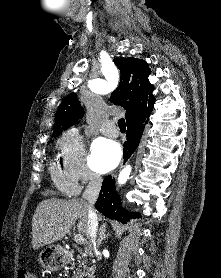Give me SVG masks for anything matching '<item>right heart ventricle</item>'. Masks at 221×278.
<instances>
[{
	"instance_id": "1",
	"label": "right heart ventricle",
	"mask_w": 221,
	"mask_h": 278,
	"mask_svg": "<svg viewBox=\"0 0 221 278\" xmlns=\"http://www.w3.org/2000/svg\"><path fill=\"white\" fill-rule=\"evenodd\" d=\"M51 173L57 187L65 192H76L78 184L75 179L69 174L65 167H62L59 162H55L51 167Z\"/></svg>"
}]
</instances>
